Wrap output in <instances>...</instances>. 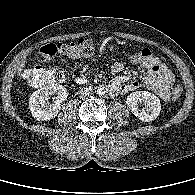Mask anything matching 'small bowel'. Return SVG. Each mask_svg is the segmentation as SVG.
Listing matches in <instances>:
<instances>
[{
    "label": "small bowel",
    "instance_id": "1",
    "mask_svg": "<svg viewBox=\"0 0 195 195\" xmlns=\"http://www.w3.org/2000/svg\"><path fill=\"white\" fill-rule=\"evenodd\" d=\"M142 71L139 80L128 81L125 75L117 76L110 83V93L113 96L128 93L137 89L141 85L150 88L161 100L168 101L170 99V88L174 83V75L168 67L157 57H154V65L146 67L140 65ZM112 71L121 73L125 70V65L121 62H115L112 65ZM88 73L83 72L76 76L78 83L86 81Z\"/></svg>",
    "mask_w": 195,
    "mask_h": 195
}]
</instances>
